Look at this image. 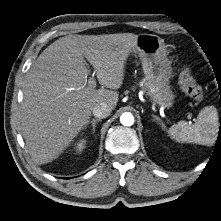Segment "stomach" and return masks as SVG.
I'll list each match as a JSON object with an SVG mask.
<instances>
[{
    "mask_svg": "<svg viewBox=\"0 0 221 221\" xmlns=\"http://www.w3.org/2000/svg\"><path fill=\"white\" fill-rule=\"evenodd\" d=\"M166 47L159 36L144 34L137 38L134 48L143 69L146 95L162 108L172 107L175 98L170 86L172 67Z\"/></svg>",
    "mask_w": 221,
    "mask_h": 221,
    "instance_id": "obj_1",
    "label": "stomach"
}]
</instances>
